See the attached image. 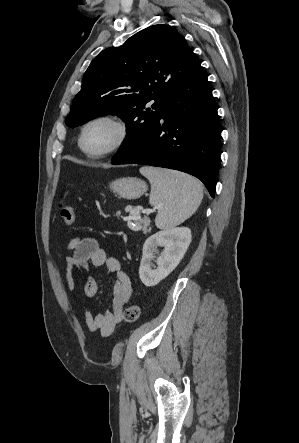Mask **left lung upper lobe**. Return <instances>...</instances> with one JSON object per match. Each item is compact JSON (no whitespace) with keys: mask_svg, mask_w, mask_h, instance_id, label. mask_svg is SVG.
Here are the masks:
<instances>
[{"mask_svg":"<svg viewBox=\"0 0 299 443\" xmlns=\"http://www.w3.org/2000/svg\"><path fill=\"white\" fill-rule=\"evenodd\" d=\"M198 65L184 37L171 26L147 27L91 62L66 125L74 128L102 115H118L126 123L127 137L112 159L117 158L152 127L171 91Z\"/></svg>","mask_w":299,"mask_h":443,"instance_id":"left-lung-upper-lobe-1","label":"left lung upper lobe"}]
</instances>
